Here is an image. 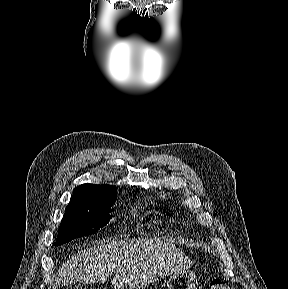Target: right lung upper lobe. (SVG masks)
Returning <instances> with one entry per match:
<instances>
[{"instance_id":"1","label":"right lung upper lobe","mask_w":288,"mask_h":289,"mask_svg":"<svg viewBox=\"0 0 288 289\" xmlns=\"http://www.w3.org/2000/svg\"><path fill=\"white\" fill-rule=\"evenodd\" d=\"M106 192H116V187L111 185H93V184H82L77 186L74 190L73 196H86V197H96L100 194Z\"/></svg>"}]
</instances>
